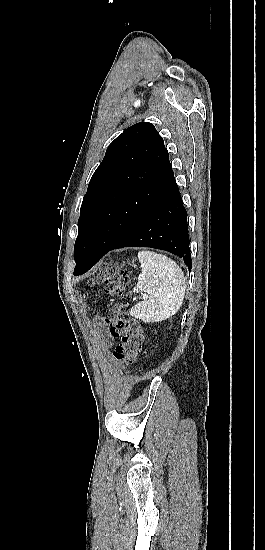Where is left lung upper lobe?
<instances>
[{
	"instance_id": "1",
	"label": "left lung upper lobe",
	"mask_w": 265,
	"mask_h": 550,
	"mask_svg": "<svg viewBox=\"0 0 265 550\" xmlns=\"http://www.w3.org/2000/svg\"><path fill=\"white\" fill-rule=\"evenodd\" d=\"M174 180L168 151L151 123L121 133L108 146L83 198L75 269L89 252L109 249Z\"/></svg>"
}]
</instances>
